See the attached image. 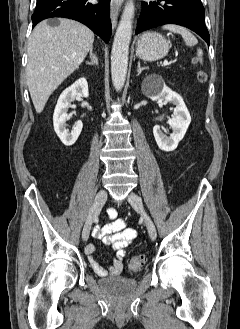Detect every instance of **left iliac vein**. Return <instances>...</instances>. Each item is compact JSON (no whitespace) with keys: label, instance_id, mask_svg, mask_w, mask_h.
<instances>
[{"label":"left iliac vein","instance_id":"left-iliac-vein-1","mask_svg":"<svg viewBox=\"0 0 240 329\" xmlns=\"http://www.w3.org/2000/svg\"><path fill=\"white\" fill-rule=\"evenodd\" d=\"M128 202L130 203V205L133 207L134 210H136L142 215L150 238L152 240H155L157 237V231L153 221L144 210L142 199L137 194L131 192L128 196Z\"/></svg>","mask_w":240,"mask_h":329}]
</instances>
